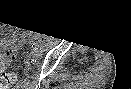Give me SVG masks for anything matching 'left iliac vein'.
Returning <instances> with one entry per match:
<instances>
[{"label": "left iliac vein", "mask_w": 131, "mask_h": 89, "mask_svg": "<svg viewBox=\"0 0 131 89\" xmlns=\"http://www.w3.org/2000/svg\"><path fill=\"white\" fill-rule=\"evenodd\" d=\"M35 55L38 57V56H41L42 53L40 51H38Z\"/></svg>", "instance_id": "4c4485c4"}]
</instances>
